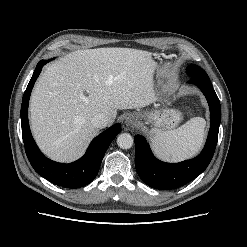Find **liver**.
Segmentation results:
<instances>
[{
	"mask_svg": "<svg viewBox=\"0 0 247 247\" xmlns=\"http://www.w3.org/2000/svg\"><path fill=\"white\" fill-rule=\"evenodd\" d=\"M156 63L150 52L131 48L78 50L52 63L30 100L33 136L49 158L78 159L98 134V113L111 125L117 110L142 108L153 100Z\"/></svg>",
	"mask_w": 247,
	"mask_h": 247,
	"instance_id": "liver-1",
	"label": "liver"
}]
</instances>
